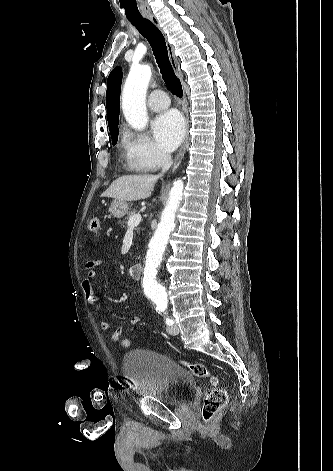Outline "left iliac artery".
Here are the masks:
<instances>
[{"label":"left iliac artery","instance_id":"left-iliac-artery-1","mask_svg":"<svg viewBox=\"0 0 333 471\" xmlns=\"http://www.w3.org/2000/svg\"><path fill=\"white\" fill-rule=\"evenodd\" d=\"M165 322H166L167 325H172V324H173V320L170 319V318L166 315V313H165Z\"/></svg>","mask_w":333,"mask_h":471}]
</instances>
